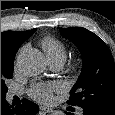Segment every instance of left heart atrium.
Returning a JSON list of instances; mask_svg holds the SVG:
<instances>
[{"label": "left heart atrium", "mask_w": 115, "mask_h": 115, "mask_svg": "<svg viewBox=\"0 0 115 115\" xmlns=\"http://www.w3.org/2000/svg\"><path fill=\"white\" fill-rule=\"evenodd\" d=\"M63 90L60 82L34 83L28 90L29 95L38 102L50 103L53 94Z\"/></svg>", "instance_id": "39dd6f15"}]
</instances>
